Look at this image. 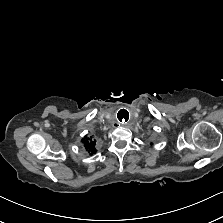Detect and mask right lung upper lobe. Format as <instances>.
Wrapping results in <instances>:
<instances>
[{
    "label": "right lung upper lobe",
    "instance_id": "right-lung-upper-lobe-1",
    "mask_svg": "<svg viewBox=\"0 0 223 223\" xmlns=\"http://www.w3.org/2000/svg\"><path fill=\"white\" fill-rule=\"evenodd\" d=\"M82 143L84 144V147L86 149V151H88L89 153H95L96 152V139H92V137H87L85 136L82 139Z\"/></svg>",
    "mask_w": 223,
    "mask_h": 223
}]
</instances>
